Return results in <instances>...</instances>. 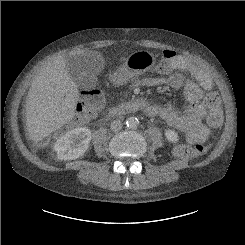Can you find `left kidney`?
I'll use <instances>...</instances> for the list:
<instances>
[{"label":"left kidney","instance_id":"obj_1","mask_svg":"<svg viewBox=\"0 0 245 245\" xmlns=\"http://www.w3.org/2000/svg\"><path fill=\"white\" fill-rule=\"evenodd\" d=\"M165 136L169 142L176 143L179 140L178 133L175 130L167 129L165 130Z\"/></svg>","mask_w":245,"mask_h":245}]
</instances>
